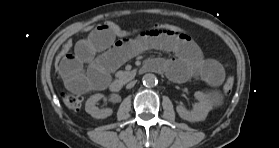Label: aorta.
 Returning a JSON list of instances; mask_svg holds the SVG:
<instances>
[{"label": "aorta", "mask_w": 279, "mask_h": 148, "mask_svg": "<svg viewBox=\"0 0 279 148\" xmlns=\"http://www.w3.org/2000/svg\"><path fill=\"white\" fill-rule=\"evenodd\" d=\"M143 84L146 87H154L156 86V84L158 83L157 77L156 75L152 74V73H147L143 76Z\"/></svg>", "instance_id": "obj_1"}]
</instances>
